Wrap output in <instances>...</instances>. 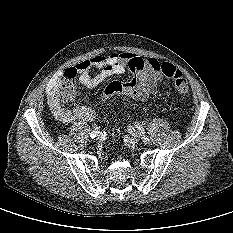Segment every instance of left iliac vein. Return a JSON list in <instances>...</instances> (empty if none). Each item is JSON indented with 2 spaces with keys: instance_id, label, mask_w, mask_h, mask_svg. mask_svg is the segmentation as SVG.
Returning <instances> with one entry per match:
<instances>
[{
  "instance_id": "obj_1",
  "label": "left iliac vein",
  "mask_w": 233,
  "mask_h": 233,
  "mask_svg": "<svg viewBox=\"0 0 233 233\" xmlns=\"http://www.w3.org/2000/svg\"><path fill=\"white\" fill-rule=\"evenodd\" d=\"M124 139L126 140V141H129L130 140V138L128 137V136H124ZM142 139V136H141V134L138 132V131H135L134 132V142H139L140 140Z\"/></svg>"
}]
</instances>
